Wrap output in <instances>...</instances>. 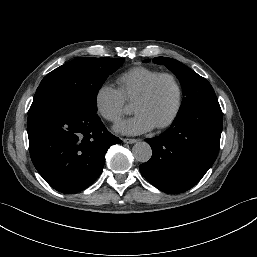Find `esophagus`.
Returning a JSON list of instances; mask_svg holds the SVG:
<instances>
[{
	"instance_id": "obj_1",
	"label": "esophagus",
	"mask_w": 257,
	"mask_h": 257,
	"mask_svg": "<svg viewBox=\"0 0 257 257\" xmlns=\"http://www.w3.org/2000/svg\"><path fill=\"white\" fill-rule=\"evenodd\" d=\"M138 140L137 139H133V138H124L123 142L127 143V144H133L136 143Z\"/></svg>"
}]
</instances>
